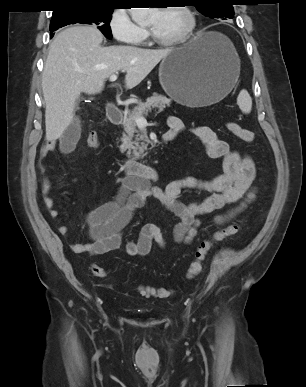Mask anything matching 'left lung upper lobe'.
<instances>
[{
	"label": "left lung upper lobe",
	"instance_id": "left-lung-upper-lobe-1",
	"mask_svg": "<svg viewBox=\"0 0 306 387\" xmlns=\"http://www.w3.org/2000/svg\"><path fill=\"white\" fill-rule=\"evenodd\" d=\"M232 0H191L197 10L210 18H233Z\"/></svg>",
	"mask_w": 306,
	"mask_h": 387
}]
</instances>
